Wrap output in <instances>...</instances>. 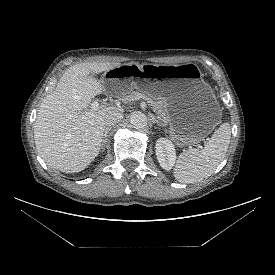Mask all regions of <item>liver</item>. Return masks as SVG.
<instances>
[{
	"label": "liver",
	"mask_w": 275,
	"mask_h": 275,
	"mask_svg": "<svg viewBox=\"0 0 275 275\" xmlns=\"http://www.w3.org/2000/svg\"><path fill=\"white\" fill-rule=\"evenodd\" d=\"M120 65L76 64L66 70L55 90L43 99L34 124V140L39 155L49 167L65 173L80 172L98 156L105 116L116 109L104 106L91 111L92 98L106 91L102 81L93 75Z\"/></svg>",
	"instance_id": "6515ba94"
}]
</instances>
